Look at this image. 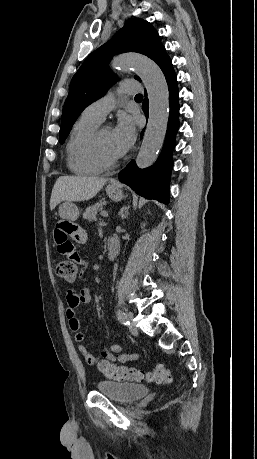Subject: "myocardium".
Here are the masks:
<instances>
[{
    "label": "myocardium",
    "instance_id": "myocardium-1",
    "mask_svg": "<svg viewBox=\"0 0 257 459\" xmlns=\"http://www.w3.org/2000/svg\"><path fill=\"white\" fill-rule=\"evenodd\" d=\"M104 128L106 127L97 128L96 131L93 133V136L90 142V152H91V156L94 159V161L101 168L109 169V168L115 167L119 163L120 157L108 158L103 153L101 144H100V135Z\"/></svg>",
    "mask_w": 257,
    "mask_h": 459
}]
</instances>
